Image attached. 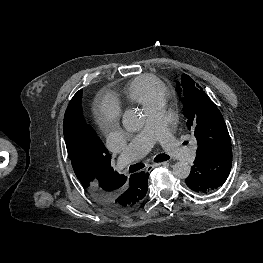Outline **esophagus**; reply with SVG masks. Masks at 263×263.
Masks as SVG:
<instances>
[{
	"instance_id": "esophagus-1",
	"label": "esophagus",
	"mask_w": 263,
	"mask_h": 263,
	"mask_svg": "<svg viewBox=\"0 0 263 263\" xmlns=\"http://www.w3.org/2000/svg\"><path fill=\"white\" fill-rule=\"evenodd\" d=\"M167 164V162H161V163H154V164H150L146 167V171H151L153 168L158 167L160 165H164Z\"/></svg>"
}]
</instances>
